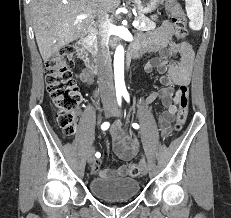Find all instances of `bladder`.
<instances>
[{"mask_svg":"<svg viewBox=\"0 0 231 218\" xmlns=\"http://www.w3.org/2000/svg\"><path fill=\"white\" fill-rule=\"evenodd\" d=\"M90 191L97 198L116 202L128 201L136 197L139 182L126 176H97L91 179Z\"/></svg>","mask_w":231,"mask_h":218,"instance_id":"1","label":"bladder"}]
</instances>
